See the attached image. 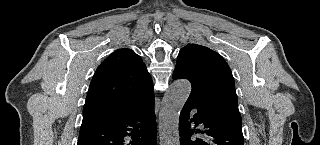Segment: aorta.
I'll return each mask as SVG.
<instances>
[{
	"label": "aorta",
	"mask_w": 320,
	"mask_h": 145,
	"mask_svg": "<svg viewBox=\"0 0 320 145\" xmlns=\"http://www.w3.org/2000/svg\"><path fill=\"white\" fill-rule=\"evenodd\" d=\"M190 92L191 83L186 79L174 81L166 91L159 113L161 145H179V116Z\"/></svg>",
	"instance_id": "obj_1"
}]
</instances>
